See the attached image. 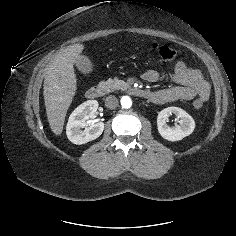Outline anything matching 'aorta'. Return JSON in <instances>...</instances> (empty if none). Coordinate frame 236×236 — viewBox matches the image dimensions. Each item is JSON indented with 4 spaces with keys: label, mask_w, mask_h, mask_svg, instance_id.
<instances>
[{
    "label": "aorta",
    "mask_w": 236,
    "mask_h": 236,
    "mask_svg": "<svg viewBox=\"0 0 236 236\" xmlns=\"http://www.w3.org/2000/svg\"><path fill=\"white\" fill-rule=\"evenodd\" d=\"M121 105L123 108H130L132 106V101L129 96H123L121 98Z\"/></svg>",
    "instance_id": "obj_1"
}]
</instances>
